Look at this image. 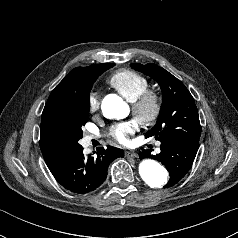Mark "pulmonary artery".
<instances>
[{
  "mask_svg": "<svg viewBox=\"0 0 238 238\" xmlns=\"http://www.w3.org/2000/svg\"><path fill=\"white\" fill-rule=\"evenodd\" d=\"M91 139H92V136H87V137L85 138L86 142H90Z\"/></svg>",
  "mask_w": 238,
  "mask_h": 238,
  "instance_id": "obj_1",
  "label": "pulmonary artery"
}]
</instances>
